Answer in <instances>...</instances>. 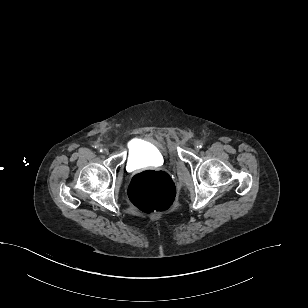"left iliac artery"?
Returning a JSON list of instances; mask_svg holds the SVG:
<instances>
[{
    "label": "left iliac artery",
    "instance_id": "obj_1",
    "mask_svg": "<svg viewBox=\"0 0 308 308\" xmlns=\"http://www.w3.org/2000/svg\"><path fill=\"white\" fill-rule=\"evenodd\" d=\"M198 147H199V148H202V147H203V143H202V142H199Z\"/></svg>",
    "mask_w": 308,
    "mask_h": 308
}]
</instances>
